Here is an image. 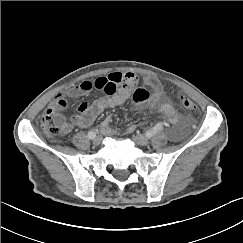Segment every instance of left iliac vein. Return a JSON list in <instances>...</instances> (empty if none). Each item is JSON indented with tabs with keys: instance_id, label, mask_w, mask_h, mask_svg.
Returning a JSON list of instances; mask_svg holds the SVG:
<instances>
[{
	"instance_id": "left-iliac-vein-1",
	"label": "left iliac vein",
	"mask_w": 243,
	"mask_h": 243,
	"mask_svg": "<svg viewBox=\"0 0 243 243\" xmlns=\"http://www.w3.org/2000/svg\"><path fill=\"white\" fill-rule=\"evenodd\" d=\"M133 140L140 146H147L149 144L148 138L143 135H135L133 136Z\"/></svg>"
}]
</instances>
